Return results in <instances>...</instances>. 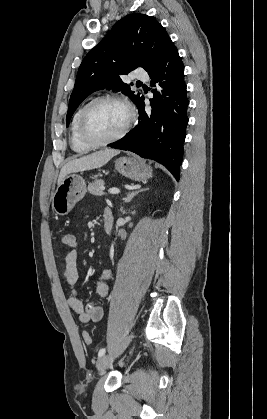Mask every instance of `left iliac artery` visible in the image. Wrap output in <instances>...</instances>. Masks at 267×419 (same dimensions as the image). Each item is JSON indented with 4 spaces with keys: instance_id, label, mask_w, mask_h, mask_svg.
Wrapping results in <instances>:
<instances>
[{
    "instance_id": "1",
    "label": "left iliac artery",
    "mask_w": 267,
    "mask_h": 419,
    "mask_svg": "<svg viewBox=\"0 0 267 419\" xmlns=\"http://www.w3.org/2000/svg\"><path fill=\"white\" fill-rule=\"evenodd\" d=\"M105 352H106L105 348L100 349L98 352V356L102 357L105 354Z\"/></svg>"
}]
</instances>
